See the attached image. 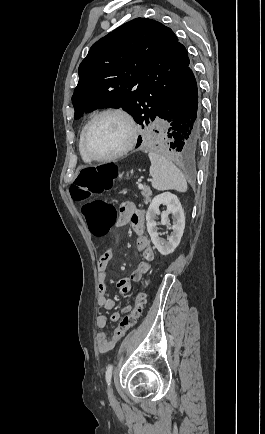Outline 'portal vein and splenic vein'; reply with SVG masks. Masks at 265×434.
Instances as JSON below:
<instances>
[{
  "label": "portal vein and splenic vein",
  "instance_id": "1",
  "mask_svg": "<svg viewBox=\"0 0 265 434\" xmlns=\"http://www.w3.org/2000/svg\"><path fill=\"white\" fill-rule=\"evenodd\" d=\"M138 188H139V190H142L143 184H138Z\"/></svg>",
  "mask_w": 265,
  "mask_h": 434
}]
</instances>
